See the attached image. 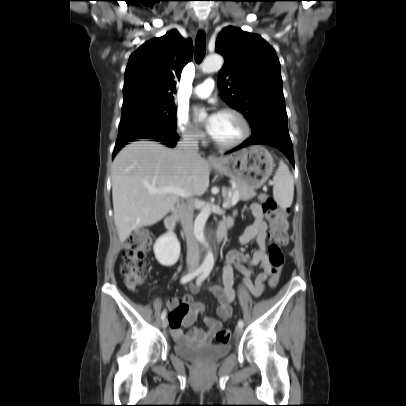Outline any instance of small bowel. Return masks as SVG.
Instances as JSON below:
<instances>
[{
    "instance_id": "small-bowel-1",
    "label": "small bowel",
    "mask_w": 406,
    "mask_h": 406,
    "mask_svg": "<svg viewBox=\"0 0 406 406\" xmlns=\"http://www.w3.org/2000/svg\"><path fill=\"white\" fill-rule=\"evenodd\" d=\"M249 213L253 216V222L245 229L240 235L239 242L241 244H247L252 240H255L257 250L249 257L246 254L230 250L224 257V265L222 273L216 284L209 285V289L215 294L218 299L219 306L217 313L220 319L213 317H207L205 319L208 326L207 330H202L198 327H191L196 315L204 310V305L199 302H194L192 293L199 290V287H189L188 294L182 298L172 297L167 302L169 308L173 311L177 308H184L186 314L180 318L179 325L170 328L174 337L181 341L187 342L189 339L195 341H210L215 333L221 329L224 321L229 319L233 315L232 302L235 298V291L233 289V276L232 266H234L242 274V284L244 287L254 296L259 297L265 287L267 280L269 279L272 266L268 259L266 251V239H267V224L264 220L263 209L258 204H252L249 208ZM225 221L232 222V217H228ZM252 266H259L261 272L255 276V280L251 278L254 276ZM191 327L188 333H183V328Z\"/></svg>"
}]
</instances>
